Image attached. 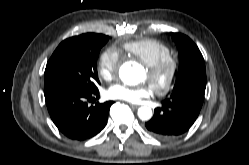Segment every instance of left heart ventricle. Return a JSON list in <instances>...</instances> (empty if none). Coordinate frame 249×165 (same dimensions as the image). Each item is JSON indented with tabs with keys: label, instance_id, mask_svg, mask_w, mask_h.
Instances as JSON below:
<instances>
[{
	"label": "left heart ventricle",
	"instance_id": "obj_1",
	"mask_svg": "<svg viewBox=\"0 0 249 165\" xmlns=\"http://www.w3.org/2000/svg\"><path fill=\"white\" fill-rule=\"evenodd\" d=\"M143 78L144 79H149L147 70H145Z\"/></svg>",
	"mask_w": 249,
	"mask_h": 165
}]
</instances>
